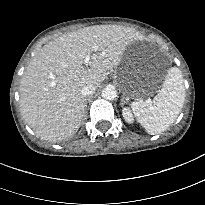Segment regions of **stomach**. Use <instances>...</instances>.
Masks as SVG:
<instances>
[{
    "mask_svg": "<svg viewBox=\"0 0 205 205\" xmlns=\"http://www.w3.org/2000/svg\"><path fill=\"white\" fill-rule=\"evenodd\" d=\"M114 77L122 91L131 97H144L155 90L152 84L142 80L137 61L129 51L124 54Z\"/></svg>",
    "mask_w": 205,
    "mask_h": 205,
    "instance_id": "stomach-1",
    "label": "stomach"
}]
</instances>
